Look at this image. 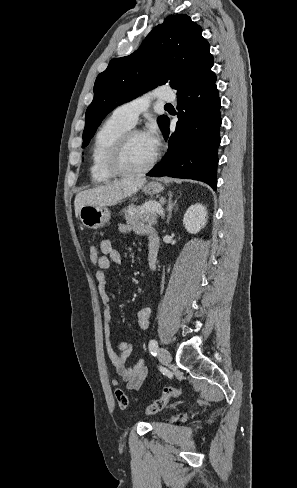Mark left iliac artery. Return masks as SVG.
<instances>
[{
  "label": "left iliac artery",
  "mask_w": 297,
  "mask_h": 488,
  "mask_svg": "<svg viewBox=\"0 0 297 488\" xmlns=\"http://www.w3.org/2000/svg\"><path fill=\"white\" fill-rule=\"evenodd\" d=\"M158 349V343L155 339L150 340L149 342V351L152 355H156Z\"/></svg>",
  "instance_id": "left-iliac-artery-1"
}]
</instances>
